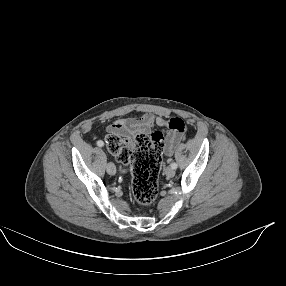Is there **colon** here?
<instances>
[{
  "label": "colon",
  "mask_w": 286,
  "mask_h": 286,
  "mask_svg": "<svg viewBox=\"0 0 286 286\" xmlns=\"http://www.w3.org/2000/svg\"><path fill=\"white\" fill-rule=\"evenodd\" d=\"M177 124L185 131V124L179 120ZM107 150L121 163L131 164L133 179L132 195L141 205H151L158 194V174L160 168V152L164 147V135L154 131L152 135H138L130 141L112 134L106 138Z\"/></svg>",
  "instance_id": "1"
}]
</instances>
